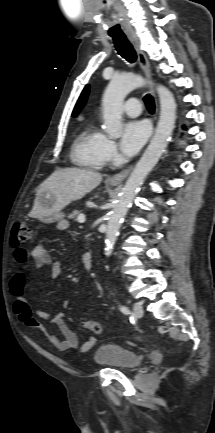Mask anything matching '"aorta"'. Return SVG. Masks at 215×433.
I'll return each mask as SVG.
<instances>
[{
  "instance_id": "aorta-1",
  "label": "aorta",
  "mask_w": 215,
  "mask_h": 433,
  "mask_svg": "<svg viewBox=\"0 0 215 433\" xmlns=\"http://www.w3.org/2000/svg\"><path fill=\"white\" fill-rule=\"evenodd\" d=\"M144 84L145 79L134 74L116 76L110 81L104 92L102 102L104 129L111 138H118L121 135L124 98L130 91ZM156 90L160 100L159 122L154 137L133 169L109 215L105 240L107 256L112 253L121 223L132 204L136 192L167 147L175 125L176 103L173 94L162 85H158Z\"/></svg>"
}]
</instances>
